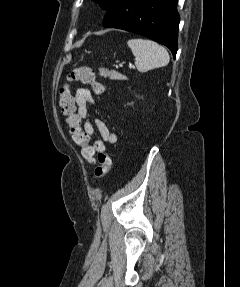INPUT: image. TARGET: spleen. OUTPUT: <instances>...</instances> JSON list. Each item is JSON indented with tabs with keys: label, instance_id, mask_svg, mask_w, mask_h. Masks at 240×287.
Masks as SVG:
<instances>
[{
	"label": "spleen",
	"instance_id": "obj_1",
	"mask_svg": "<svg viewBox=\"0 0 240 287\" xmlns=\"http://www.w3.org/2000/svg\"><path fill=\"white\" fill-rule=\"evenodd\" d=\"M127 44L135 56V65L140 72H147L169 63L167 50L152 40L135 38L128 40Z\"/></svg>",
	"mask_w": 240,
	"mask_h": 287
}]
</instances>
